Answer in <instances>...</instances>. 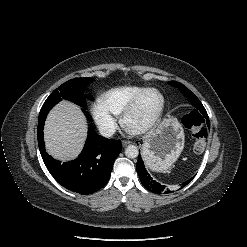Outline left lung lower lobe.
Instances as JSON below:
<instances>
[{
    "label": "left lung lower lobe",
    "mask_w": 247,
    "mask_h": 247,
    "mask_svg": "<svg viewBox=\"0 0 247 247\" xmlns=\"http://www.w3.org/2000/svg\"><path fill=\"white\" fill-rule=\"evenodd\" d=\"M206 119H207V125H208V127H210L209 119L208 118H206ZM202 133H203V135H206V129L203 128L202 129ZM136 169H137V173L139 175V178L141 180V183L149 191H152V192L157 193V194H160V193L167 194V193L171 192L169 189L166 188L165 185L160 184L154 178L151 177V175L147 172V170H146V168L144 166V162H143V160H142L140 155L138 157V161H137V164H136ZM192 179L193 178H191L188 181L184 182L182 184L181 188L186 186Z\"/></svg>",
    "instance_id": "1"
}]
</instances>
